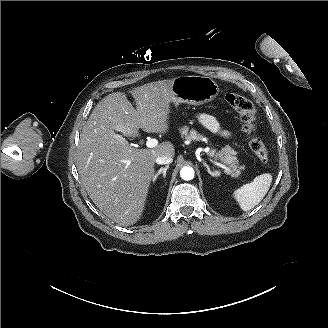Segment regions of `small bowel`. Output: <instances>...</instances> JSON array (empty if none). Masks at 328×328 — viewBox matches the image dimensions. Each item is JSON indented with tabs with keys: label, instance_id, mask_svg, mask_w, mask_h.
<instances>
[{
	"label": "small bowel",
	"instance_id": "c3829d8e",
	"mask_svg": "<svg viewBox=\"0 0 328 328\" xmlns=\"http://www.w3.org/2000/svg\"><path fill=\"white\" fill-rule=\"evenodd\" d=\"M198 120L210 131L214 133H219L223 136H227L229 133L226 130H223L220 126L219 120L217 117L202 113L198 115Z\"/></svg>",
	"mask_w": 328,
	"mask_h": 328
}]
</instances>
